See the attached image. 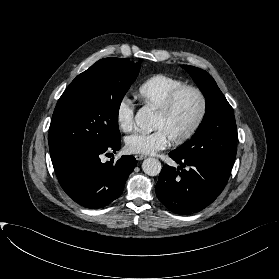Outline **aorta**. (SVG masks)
Here are the masks:
<instances>
[{
	"label": "aorta",
	"mask_w": 279,
	"mask_h": 279,
	"mask_svg": "<svg viewBox=\"0 0 279 279\" xmlns=\"http://www.w3.org/2000/svg\"><path fill=\"white\" fill-rule=\"evenodd\" d=\"M136 125L144 132H151L154 128V114L150 108L144 106L135 115ZM162 166L158 159L147 158L142 163V170L149 176H157Z\"/></svg>",
	"instance_id": "762f6f07"
}]
</instances>
